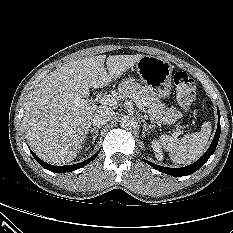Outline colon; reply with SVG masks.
I'll return each mask as SVG.
<instances>
[{
	"instance_id": "obj_1",
	"label": "colon",
	"mask_w": 233,
	"mask_h": 233,
	"mask_svg": "<svg viewBox=\"0 0 233 233\" xmlns=\"http://www.w3.org/2000/svg\"><path fill=\"white\" fill-rule=\"evenodd\" d=\"M176 87V100L184 111H189L195 100V83L193 79L183 71L174 74Z\"/></svg>"
}]
</instances>
